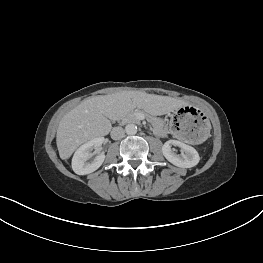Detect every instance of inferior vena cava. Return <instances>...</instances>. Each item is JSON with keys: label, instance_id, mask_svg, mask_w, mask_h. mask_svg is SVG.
I'll return each instance as SVG.
<instances>
[{"label": "inferior vena cava", "instance_id": "inferior-vena-cava-1", "mask_svg": "<svg viewBox=\"0 0 263 263\" xmlns=\"http://www.w3.org/2000/svg\"><path fill=\"white\" fill-rule=\"evenodd\" d=\"M125 136V131L122 127H114L111 130V138L114 140L122 139Z\"/></svg>", "mask_w": 263, "mask_h": 263}]
</instances>
